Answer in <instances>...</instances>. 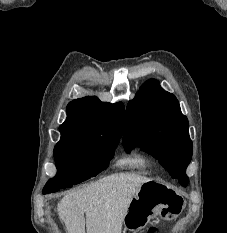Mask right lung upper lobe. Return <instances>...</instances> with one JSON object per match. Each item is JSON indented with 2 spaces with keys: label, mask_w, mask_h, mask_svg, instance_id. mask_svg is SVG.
Returning a JSON list of instances; mask_svg holds the SVG:
<instances>
[{
  "label": "right lung upper lobe",
  "mask_w": 227,
  "mask_h": 233,
  "mask_svg": "<svg viewBox=\"0 0 227 233\" xmlns=\"http://www.w3.org/2000/svg\"><path fill=\"white\" fill-rule=\"evenodd\" d=\"M67 120L60 126L62 137L97 140L121 137L124 105L101 102L97 97H83L67 106Z\"/></svg>",
  "instance_id": "cb5924a9"
}]
</instances>
